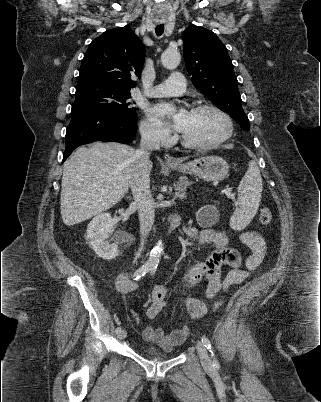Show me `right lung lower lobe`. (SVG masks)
<instances>
[{"instance_id": "right-lung-lower-lobe-1", "label": "right lung lower lobe", "mask_w": 321, "mask_h": 402, "mask_svg": "<svg viewBox=\"0 0 321 402\" xmlns=\"http://www.w3.org/2000/svg\"><path fill=\"white\" fill-rule=\"evenodd\" d=\"M136 131V115L113 116L88 112L71 115L62 162L80 145L93 141L127 143L134 138Z\"/></svg>"}]
</instances>
